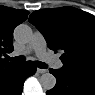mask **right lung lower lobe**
I'll return each mask as SVG.
<instances>
[{
  "label": "right lung lower lobe",
  "mask_w": 95,
  "mask_h": 95,
  "mask_svg": "<svg viewBox=\"0 0 95 95\" xmlns=\"http://www.w3.org/2000/svg\"><path fill=\"white\" fill-rule=\"evenodd\" d=\"M36 72L33 62L22 64L0 81V95H21L24 81Z\"/></svg>",
  "instance_id": "obj_1"
}]
</instances>
